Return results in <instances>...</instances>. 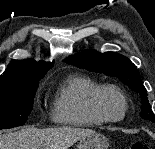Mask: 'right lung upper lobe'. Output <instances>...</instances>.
Segmentation results:
<instances>
[{
	"instance_id": "right-lung-upper-lobe-1",
	"label": "right lung upper lobe",
	"mask_w": 155,
	"mask_h": 149,
	"mask_svg": "<svg viewBox=\"0 0 155 149\" xmlns=\"http://www.w3.org/2000/svg\"><path fill=\"white\" fill-rule=\"evenodd\" d=\"M52 67L49 62H36L32 59L12 60L0 80L34 79L44 77Z\"/></svg>"
}]
</instances>
